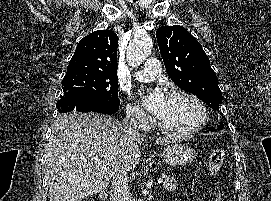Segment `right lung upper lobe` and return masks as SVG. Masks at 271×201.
Here are the masks:
<instances>
[{"instance_id": "obj_1", "label": "right lung upper lobe", "mask_w": 271, "mask_h": 201, "mask_svg": "<svg viewBox=\"0 0 271 201\" xmlns=\"http://www.w3.org/2000/svg\"><path fill=\"white\" fill-rule=\"evenodd\" d=\"M118 36L112 30H98L83 38L67 72L89 71L117 75Z\"/></svg>"}]
</instances>
